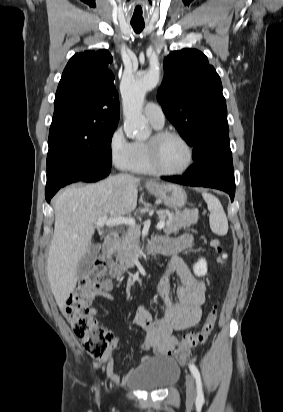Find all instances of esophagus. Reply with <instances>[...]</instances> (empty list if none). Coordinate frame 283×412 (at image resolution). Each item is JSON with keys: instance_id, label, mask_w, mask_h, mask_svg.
I'll return each instance as SVG.
<instances>
[{"instance_id": "obj_1", "label": "esophagus", "mask_w": 283, "mask_h": 412, "mask_svg": "<svg viewBox=\"0 0 283 412\" xmlns=\"http://www.w3.org/2000/svg\"><path fill=\"white\" fill-rule=\"evenodd\" d=\"M146 185H147V186L155 185V181H154V180H147V181H146Z\"/></svg>"}]
</instances>
